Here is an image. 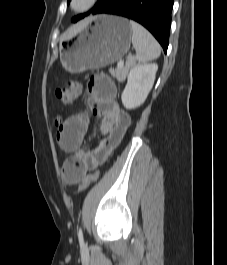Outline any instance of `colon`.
Masks as SVG:
<instances>
[{
    "mask_svg": "<svg viewBox=\"0 0 227 265\" xmlns=\"http://www.w3.org/2000/svg\"><path fill=\"white\" fill-rule=\"evenodd\" d=\"M81 86L77 81L70 80L64 87L56 90V98L64 105L72 104L79 96ZM81 166V159L78 155H73L67 158L63 164L62 173L66 180L70 181L73 178V171ZM99 177V171H94L88 174L82 181L79 191L86 190Z\"/></svg>",
    "mask_w": 227,
    "mask_h": 265,
    "instance_id": "colon-1",
    "label": "colon"
}]
</instances>
